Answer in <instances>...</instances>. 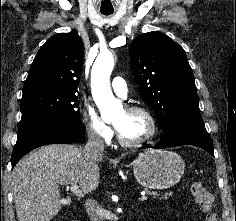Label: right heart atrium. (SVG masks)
<instances>
[{
	"mask_svg": "<svg viewBox=\"0 0 236 221\" xmlns=\"http://www.w3.org/2000/svg\"><path fill=\"white\" fill-rule=\"evenodd\" d=\"M82 121L88 136L96 142L109 143L113 138V129L106 123L91 103H86L82 111Z\"/></svg>",
	"mask_w": 236,
	"mask_h": 221,
	"instance_id": "1",
	"label": "right heart atrium"
}]
</instances>
